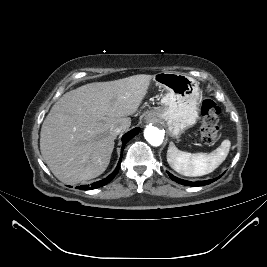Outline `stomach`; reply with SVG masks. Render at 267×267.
<instances>
[{
  "instance_id": "stomach-1",
  "label": "stomach",
  "mask_w": 267,
  "mask_h": 267,
  "mask_svg": "<svg viewBox=\"0 0 267 267\" xmlns=\"http://www.w3.org/2000/svg\"><path fill=\"white\" fill-rule=\"evenodd\" d=\"M156 84L163 88L161 106L147 113V117L165 122L174 138L196 124L199 113L200 88L198 82L176 72H162L154 76Z\"/></svg>"
}]
</instances>
